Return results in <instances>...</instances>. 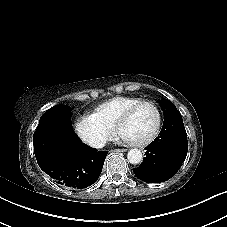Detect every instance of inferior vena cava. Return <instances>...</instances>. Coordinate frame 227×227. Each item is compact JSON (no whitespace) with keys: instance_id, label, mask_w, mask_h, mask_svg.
I'll return each instance as SVG.
<instances>
[{"instance_id":"602c4592","label":"inferior vena cava","mask_w":227,"mask_h":227,"mask_svg":"<svg viewBox=\"0 0 227 227\" xmlns=\"http://www.w3.org/2000/svg\"><path fill=\"white\" fill-rule=\"evenodd\" d=\"M106 144V141L105 140H100L97 144H96V147H99V148H102L104 147Z\"/></svg>"}]
</instances>
